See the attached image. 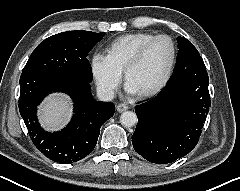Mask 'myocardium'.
<instances>
[{
    "label": "myocardium",
    "mask_w": 240,
    "mask_h": 191,
    "mask_svg": "<svg viewBox=\"0 0 240 191\" xmlns=\"http://www.w3.org/2000/svg\"><path fill=\"white\" fill-rule=\"evenodd\" d=\"M158 40H166L169 42L170 47H171L170 62H169L168 68L166 70V73H165L163 79L157 85H155L152 88H149V89L139 92V95L142 97H149V96L155 95L156 93L160 92L169 82V80L172 76V73H173V70L175 67V63H176V58H177V49H176V45H175L173 39L168 35L153 36L139 48V50L129 60V62L126 64V66L123 70L124 77L127 80L129 72L143 60L149 47Z\"/></svg>",
    "instance_id": "myocardium-1"
}]
</instances>
